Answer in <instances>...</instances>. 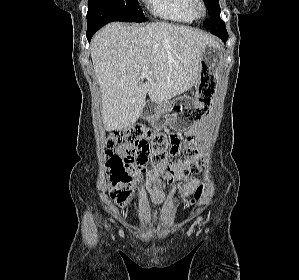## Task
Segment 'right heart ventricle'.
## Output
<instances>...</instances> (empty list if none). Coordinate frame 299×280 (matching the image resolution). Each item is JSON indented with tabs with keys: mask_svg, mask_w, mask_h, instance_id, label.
I'll list each match as a JSON object with an SVG mask.
<instances>
[{
	"mask_svg": "<svg viewBox=\"0 0 299 280\" xmlns=\"http://www.w3.org/2000/svg\"><path fill=\"white\" fill-rule=\"evenodd\" d=\"M152 13L162 19L191 24L196 20L193 0H147Z\"/></svg>",
	"mask_w": 299,
	"mask_h": 280,
	"instance_id": "obj_1",
	"label": "right heart ventricle"
}]
</instances>
